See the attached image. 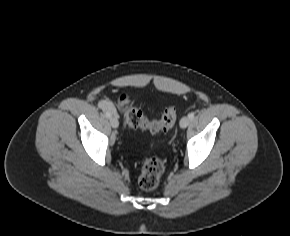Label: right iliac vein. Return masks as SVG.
<instances>
[{
    "label": "right iliac vein",
    "mask_w": 290,
    "mask_h": 236,
    "mask_svg": "<svg viewBox=\"0 0 290 236\" xmlns=\"http://www.w3.org/2000/svg\"><path fill=\"white\" fill-rule=\"evenodd\" d=\"M110 124H111V126L113 127V128H118V126H119V121H118V119H117V117L116 116H113V117H111L110 118Z\"/></svg>",
    "instance_id": "63e3f726"
}]
</instances>
